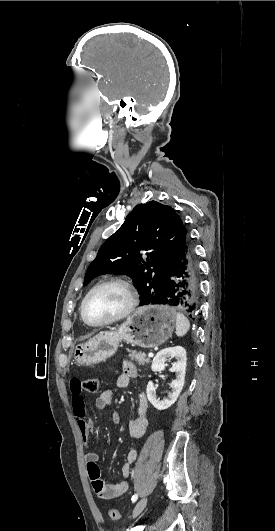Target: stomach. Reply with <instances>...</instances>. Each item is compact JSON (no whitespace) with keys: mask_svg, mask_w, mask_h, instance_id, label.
<instances>
[{"mask_svg":"<svg viewBox=\"0 0 275 531\" xmlns=\"http://www.w3.org/2000/svg\"><path fill=\"white\" fill-rule=\"evenodd\" d=\"M175 321L170 301H147L146 307L127 317L118 331H101L87 343L76 345L73 359L81 367L97 365L115 355L121 341L143 349L159 347L171 337Z\"/></svg>","mask_w":275,"mask_h":531,"instance_id":"stomach-1","label":"stomach"}]
</instances>
